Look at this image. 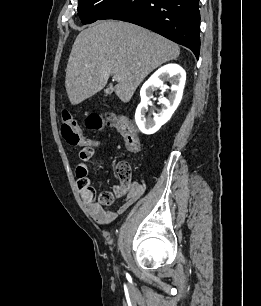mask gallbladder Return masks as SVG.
<instances>
[{
  "label": "gallbladder",
  "instance_id": "bac80fb5",
  "mask_svg": "<svg viewBox=\"0 0 261 306\" xmlns=\"http://www.w3.org/2000/svg\"><path fill=\"white\" fill-rule=\"evenodd\" d=\"M113 92V88L112 87H108L106 90H105V95H110L111 93Z\"/></svg>",
  "mask_w": 261,
  "mask_h": 306
}]
</instances>
